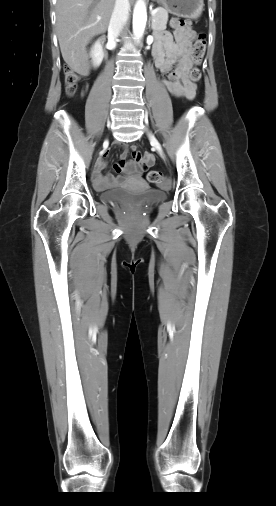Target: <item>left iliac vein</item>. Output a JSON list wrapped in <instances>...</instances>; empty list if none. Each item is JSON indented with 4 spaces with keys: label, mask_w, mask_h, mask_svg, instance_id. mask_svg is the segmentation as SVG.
<instances>
[{
    "label": "left iliac vein",
    "mask_w": 276,
    "mask_h": 506,
    "mask_svg": "<svg viewBox=\"0 0 276 506\" xmlns=\"http://www.w3.org/2000/svg\"><path fill=\"white\" fill-rule=\"evenodd\" d=\"M148 136L151 140V142L153 143V145L156 147V149L160 152V154L162 155V148H161V145L160 143L158 142V140L156 139V137L150 132L148 131Z\"/></svg>",
    "instance_id": "1"
}]
</instances>
